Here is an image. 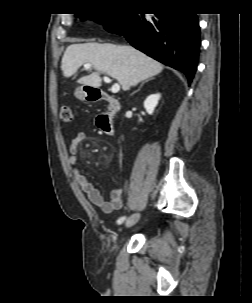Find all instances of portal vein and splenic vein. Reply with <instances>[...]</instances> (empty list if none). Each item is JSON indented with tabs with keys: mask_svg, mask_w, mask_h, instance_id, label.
<instances>
[{
	"mask_svg": "<svg viewBox=\"0 0 252 303\" xmlns=\"http://www.w3.org/2000/svg\"><path fill=\"white\" fill-rule=\"evenodd\" d=\"M91 67V64L87 63V64H84V68L88 69ZM104 81L107 82V83H110L111 82V79L107 76L104 77ZM120 91V85L118 83H114L111 87V92L112 93H118Z\"/></svg>",
	"mask_w": 252,
	"mask_h": 303,
	"instance_id": "1",
	"label": "portal vein and splenic vein"
}]
</instances>
